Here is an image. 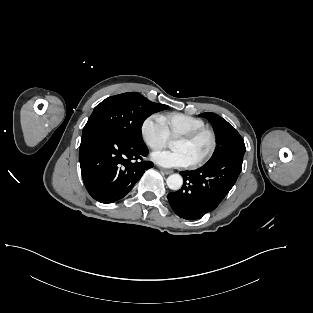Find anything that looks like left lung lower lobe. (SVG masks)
<instances>
[{
  "mask_svg": "<svg viewBox=\"0 0 313 313\" xmlns=\"http://www.w3.org/2000/svg\"><path fill=\"white\" fill-rule=\"evenodd\" d=\"M244 155H231L180 174L184 178L182 188L168 194L174 212L189 220L199 219L213 211L235 184Z\"/></svg>",
  "mask_w": 313,
  "mask_h": 313,
  "instance_id": "left-lung-lower-lobe-1",
  "label": "left lung lower lobe"
}]
</instances>
